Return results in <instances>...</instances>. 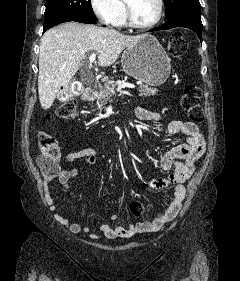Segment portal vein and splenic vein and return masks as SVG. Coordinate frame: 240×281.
Masks as SVG:
<instances>
[{
	"mask_svg": "<svg viewBox=\"0 0 240 281\" xmlns=\"http://www.w3.org/2000/svg\"><path fill=\"white\" fill-rule=\"evenodd\" d=\"M95 60H96V54H91L90 57H89V62H90V64L92 65V63H94ZM125 87L134 88V86L131 85V84L123 83V84L119 85V87L117 88V90H118L119 92H124V91H122V88H125Z\"/></svg>",
	"mask_w": 240,
	"mask_h": 281,
	"instance_id": "portal-vein-and-splenic-vein-1",
	"label": "portal vein and splenic vein"
}]
</instances>
